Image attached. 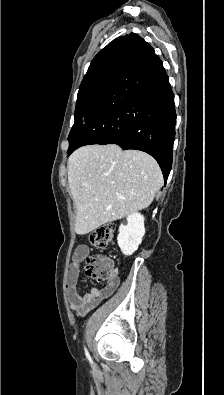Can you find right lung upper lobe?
<instances>
[{
    "instance_id": "1",
    "label": "right lung upper lobe",
    "mask_w": 224,
    "mask_h": 395,
    "mask_svg": "<svg viewBox=\"0 0 224 395\" xmlns=\"http://www.w3.org/2000/svg\"><path fill=\"white\" fill-rule=\"evenodd\" d=\"M144 40L135 33L120 36L103 48L91 61L81 85L106 73L121 71Z\"/></svg>"
}]
</instances>
